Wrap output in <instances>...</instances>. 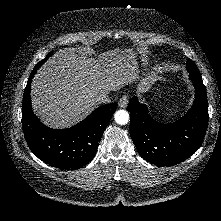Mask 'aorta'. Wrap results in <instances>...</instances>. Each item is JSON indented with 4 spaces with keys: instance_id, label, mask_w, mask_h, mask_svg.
I'll return each mask as SVG.
<instances>
[{
    "instance_id": "762f6f07",
    "label": "aorta",
    "mask_w": 221,
    "mask_h": 221,
    "mask_svg": "<svg viewBox=\"0 0 221 221\" xmlns=\"http://www.w3.org/2000/svg\"><path fill=\"white\" fill-rule=\"evenodd\" d=\"M114 119L117 124L125 125L129 121V114L126 110H118L114 114Z\"/></svg>"
}]
</instances>
